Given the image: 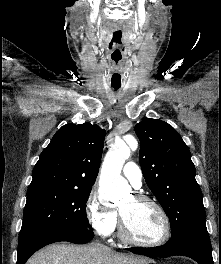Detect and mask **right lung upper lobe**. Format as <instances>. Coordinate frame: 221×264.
I'll return each mask as SVG.
<instances>
[{"label": "right lung upper lobe", "mask_w": 221, "mask_h": 264, "mask_svg": "<svg viewBox=\"0 0 221 264\" xmlns=\"http://www.w3.org/2000/svg\"><path fill=\"white\" fill-rule=\"evenodd\" d=\"M105 130L90 123L67 124L53 136L36 163L28 190L90 189L98 175Z\"/></svg>", "instance_id": "cb5924a9"}]
</instances>
